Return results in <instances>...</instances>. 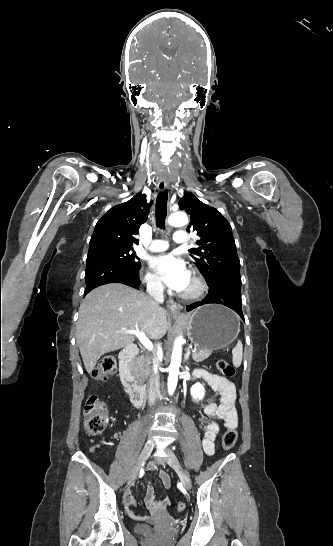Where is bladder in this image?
Segmentation results:
<instances>
[{
    "label": "bladder",
    "instance_id": "bladder-1",
    "mask_svg": "<svg viewBox=\"0 0 333 546\" xmlns=\"http://www.w3.org/2000/svg\"><path fill=\"white\" fill-rule=\"evenodd\" d=\"M135 531L141 535H149L153 533V528L147 524H139L135 526Z\"/></svg>",
    "mask_w": 333,
    "mask_h": 546
}]
</instances>
